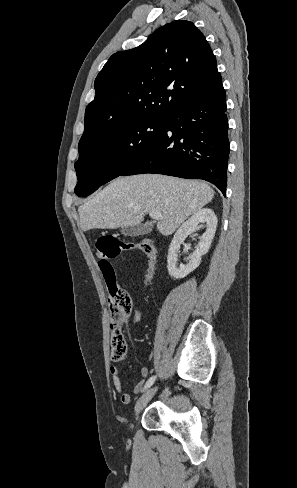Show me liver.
Wrapping results in <instances>:
<instances>
[{
	"label": "liver",
	"instance_id": "6515ba94",
	"mask_svg": "<svg viewBox=\"0 0 297 488\" xmlns=\"http://www.w3.org/2000/svg\"><path fill=\"white\" fill-rule=\"evenodd\" d=\"M214 191L205 182L159 174L118 177L78 208L80 227L115 229L138 225L146 212L157 210V228L172 234L190 215L211 202Z\"/></svg>",
	"mask_w": 297,
	"mask_h": 488
}]
</instances>
